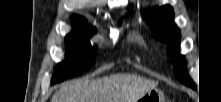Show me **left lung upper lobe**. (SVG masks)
Here are the masks:
<instances>
[{"label":"left lung upper lobe","mask_w":221,"mask_h":102,"mask_svg":"<svg viewBox=\"0 0 221 102\" xmlns=\"http://www.w3.org/2000/svg\"><path fill=\"white\" fill-rule=\"evenodd\" d=\"M143 16L153 36L168 45L167 52L174 63L175 77L195 89L196 85L188 75L184 57L179 54L180 31L173 22V9L169 5L143 11Z\"/></svg>","instance_id":"left-lung-upper-lobe-1"}]
</instances>
